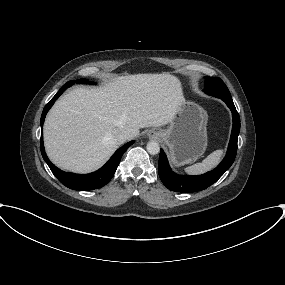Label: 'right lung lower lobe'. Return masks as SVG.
<instances>
[{"label": "right lung lower lobe", "instance_id": "right-lung-lower-lobe-1", "mask_svg": "<svg viewBox=\"0 0 285 285\" xmlns=\"http://www.w3.org/2000/svg\"><path fill=\"white\" fill-rule=\"evenodd\" d=\"M70 87L68 82L64 84L61 89L56 93V95L51 99V101L45 106L42 116H41V128L43 127L44 119L48 110L52 107L55 100L68 88ZM134 143L131 141L120 149H118L113 156L109 159V161L99 170L90 173V174H74L69 172H64L57 168L47 157L43 145V134L41 133V141H40V149L43 156V159L48 164L49 168L55 175V177L66 187L73 190H93L97 188H101L106 185L111 178L113 177L122 155L124 152Z\"/></svg>", "mask_w": 285, "mask_h": 285}]
</instances>
